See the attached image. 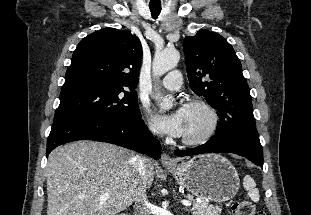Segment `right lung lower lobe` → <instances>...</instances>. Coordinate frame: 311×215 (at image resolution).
Segmentation results:
<instances>
[{
	"label": "right lung lower lobe",
	"mask_w": 311,
	"mask_h": 215,
	"mask_svg": "<svg viewBox=\"0 0 311 215\" xmlns=\"http://www.w3.org/2000/svg\"><path fill=\"white\" fill-rule=\"evenodd\" d=\"M86 139L116 144L156 160L161 156L160 142L150 134L141 114L128 120L85 117L55 120L47 139L46 155L59 145Z\"/></svg>",
	"instance_id": "98d812e1"
}]
</instances>
